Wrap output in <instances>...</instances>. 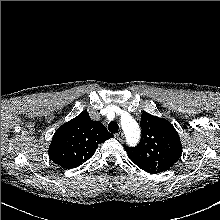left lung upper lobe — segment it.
<instances>
[{
    "mask_svg": "<svg viewBox=\"0 0 220 220\" xmlns=\"http://www.w3.org/2000/svg\"><path fill=\"white\" fill-rule=\"evenodd\" d=\"M141 140L136 147L124 145L138 167L157 174L172 167L181 157L182 144L173 125L147 112L141 116Z\"/></svg>",
    "mask_w": 220,
    "mask_h": 220,
    "instance_id": "5c2ea615",
    "label": "left lung upper lobe"
}]
</instances>
